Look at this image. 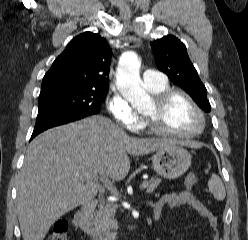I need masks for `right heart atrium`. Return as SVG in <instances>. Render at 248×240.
Wrapping results in <instances>:
<instances>
[{
    "instance_id": "right-heart-atrium-1",
    "label": "right heart atrium",
    "mask_w": 248,
    "mask_h": 240,
    "mask_svg": "<svg viewBox=\"0 0 248 240\" xmlns=\"http://www.w3.org/2000/svg\"><path fill=\"white\" fill-rule=\"evenodd\" d=\"M107 108L112 117L130 131H137L143 126V119L117 91L107 99Z\"/></svg>"
}]
</instances>
